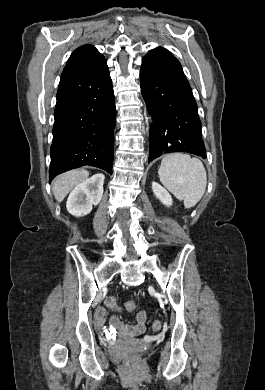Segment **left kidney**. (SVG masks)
<instances>
[{
  "label": "left kidney",
  "instance_id": "obj_1",
  "mask_svg": "<svg viewBox=\"0 0 265 390\" xmlns=\"http://www.w3.org/2000/svg\"><path fill=\"white\" fill-rule=\"evenodd\" d=\"M154 195L167 207L172 205V197L169 192L157 182H152Z\"/></svg>",
  "mask_w": 265,
  "mask_h": 390
}]
</instances>
